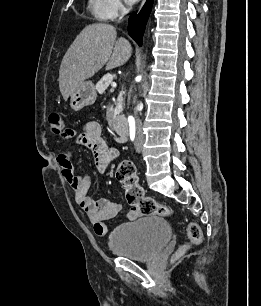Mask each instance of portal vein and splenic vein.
<instances>
[{
  "label": "portal vein and splenic vein",
  "mask_w": 261,
  "mask_h": 306,
  "mask_svg": "<svg viewBox=\"0 0 261 306\" xmlns=\"http://www.w3.org/2000/svg\"><path fill=\"white\" fill-rule=\"evenodd\" d=\"M111 85H112V87H116L117 86V84L115 82H112Z\"/></svg>",
  "instance_id": "obj_1"
}]
</instances>
